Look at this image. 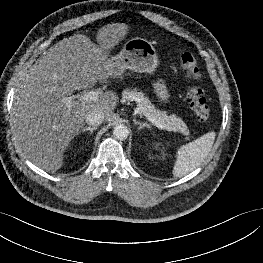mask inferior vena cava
I'll list each match as a JSON object with an SVG mask.
<instances>
[{"label": "inferior vena cava", "mask_w": 263, "mask_h": 263, "mask_svg": "<svg viewBox=\"0 0 263 263\" xmlns=\"http://www.w3.org/2000/svg\"><path fill=\"white\" fill-rule=\"evenodd\" d=\"M104 120L103 112L92 110L86 115V123L93 127H98Z\"/></svg>", "instance_id": "obj_1"}]
</instances>
